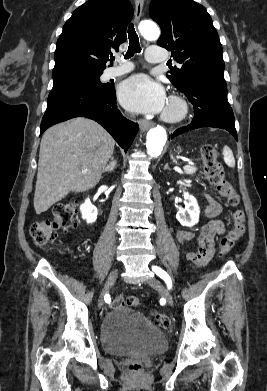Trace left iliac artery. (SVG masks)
<instances>
[{
    "label": "left iliac artery",
    "mask_w": 267,
    "mask_h": 391,
    "mask_svg": "<svg viewBox=\"0 0 267 391\" xmlns=\"http://www.w3.org/2000/svg\"><path fill=\"white\" fill-rule=\"evenodd\" d=\"M152 269L160 278H162L165 281L168 288H171L172 281H171L170 276L164 270H162L160 267L153 266Z\"/></svg>",
    "instance_id": "1"
}]
</instances>
